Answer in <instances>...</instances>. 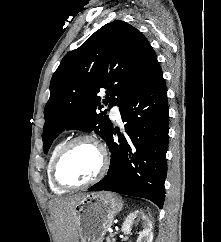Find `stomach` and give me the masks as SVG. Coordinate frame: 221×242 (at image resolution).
Listing matches in <instances>:
<instances>
[{
	"label": "stomach",
	"instance_id": "1",
	"mask_svg": "<svg viewBox=\"0 0 221 242\" xmlns=\"http://www.w3.org/2000/svg\"><path fill=\"white\" fill-rule=\"evenodd\" d=\"M121 199L109 192L86 195L73 209L78 227L77 242H102L117 213Z\"/></svg>",
	"mask_w": 221,
	"mask_h": 242
}]
</instances>
